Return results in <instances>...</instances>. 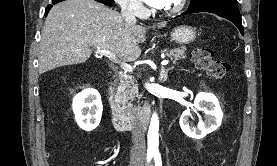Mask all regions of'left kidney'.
Segmentation results:
<instances>
[{
    "label": "left kidney",
    "instance_id": "5707ae66",
    "mask_svg": "<svg viewBox=\"0 0 277 166\" xmlns=\"http://www.w3.org/2000/svg\"><path fill=\"white\" fill-rule=\"evenodd\" d=\"M191 111H202L205 114L204 120H201L197 127L189 124ZM222 118L223 112L216 96L211 93L201 92L195 97L192 109H187L182 113L180 127L188 137L201 139L215 131L221 124Z\"/></svg>",
    "mask_w": 277,
    "mask_h": 166
}]
</instances>
